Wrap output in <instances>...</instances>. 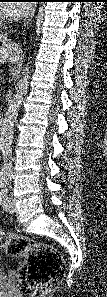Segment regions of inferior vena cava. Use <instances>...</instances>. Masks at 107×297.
I'll use <instances>...</instances> for the list:
<instances>
[{"instance_id": "obj_1", "label": "inferior vena cava", "mask_w": 107, "mask_h": 297, "mask_svg": "<svg viewBox=\"0 0 107 297\" xmlns=\"http://www.w3.org/2000/svg\"><path fill=\"white\" fill-rule=\"evenodd\" d=\"M6 35H7V34H4V35H2V37L6 38ZM6 165H7V166L4 168V172H6L8 178L11 179V176H12V169H11L12 164H11V162L9 161V163H6Z\"/></svg>"}]
</instances>
